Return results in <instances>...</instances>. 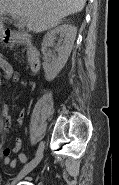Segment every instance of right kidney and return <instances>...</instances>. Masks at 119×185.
<instances>
[{
	"label": "right kidney",
	"instance_id": "1",
	"mask_svg": "<svg viewBox=\"0 0 119 185\" xmlns=\"http://www.w3.org/2000/svg\"><path fill=\"white\" fill-rule=\"evenodd\" d=\"M57 34H60L64 37L63 43L62 45H57L55 47L57 55L53 56L52 59H46L43 63L45 78L48 81L53 80L65 66L74 45L77 29L75 26L70 24L58 26L45 35L42 46H53Z\"/></svg>",
	"mask_w": 119,
	"mask_h": 185
}]
</instances>
